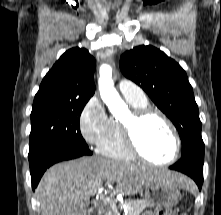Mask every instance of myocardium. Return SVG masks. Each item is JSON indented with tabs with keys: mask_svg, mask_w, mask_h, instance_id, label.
<instances>
[{
	"mask_svg": "<svg viewBox=\"0 0 221 215\" xmlns=\"http://www.w3.org/2000/svg\"><path fill=\"white\" fill-rule=\"evenodd\" d=\"M156 116L160 118L164 124L168 127L170 133L172 134L174 140V152L171 158L164 162H156L149 157H147L140 147L138 146L136 140V131L138 126L148 117ZM122 135L124 144L127 150L136 158H139L149 164L155 166H169L173 164L179 157L181 151V140L180 136L172 123V121L160 110L146 106L141 108H134L129 115L121 122Z\"/></svg>",
	"mask_w": 221,
	"mask_h": 215,
	"instance_id": "obj_1",
	"label": "myocardium"
}]
</instances>
